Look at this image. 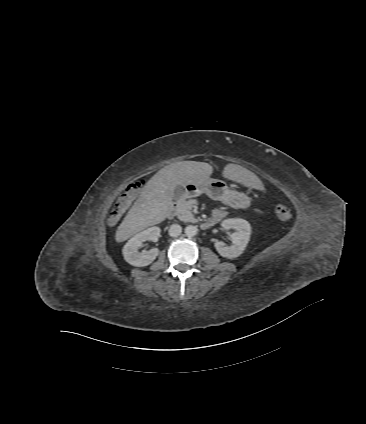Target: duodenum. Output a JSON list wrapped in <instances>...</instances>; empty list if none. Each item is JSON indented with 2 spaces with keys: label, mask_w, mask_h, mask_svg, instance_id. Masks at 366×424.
<instances>
[{
  "label": "duodenum",
  "mask_w": 366,
  "mask_h": 424,
  "mask_svg": "<svg viewBox=\"0 0 366 424\" xmlns=\"http://www.w3.org/2000/svg\"><path fill=\"white\" fill-rule=\"evenodd\" d=\"M173 214H174V211L171 210L169 212V216L171 217V216H173ZM215 224H216V221L214 219H210V220L203 222L201 224V227H202V229L207 230V229H210L211 227H213Z\"/></svg>",
  "instance_id": "410a0bca"
}]
</instances>
